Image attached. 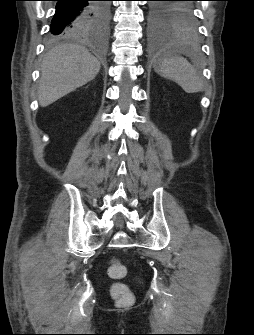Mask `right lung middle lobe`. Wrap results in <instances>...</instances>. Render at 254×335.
<instances>
[{
	"label": "right lung middle lobe",
	"mask_w": 254,
	"mask_h": 335,
	"mask_svg": "<svg viewBox=\"0 0 254 335\" xmlns=\"http://www.w3.org/2000/svg\"><path fill=\"white\" fill-rule=\"evenodd\" d=\"M108 21H109V3L100 2L98 4V18L91 25V33L89 35L104 33L107 29ZM76 35H83V33H80L79 31H77L75 33H66L61 36H50L49 40L56 41V40H60L63 38L76 36Z\"/></svg>",
	"instance_id": "dd1d6c3e"
}]
</instances>
